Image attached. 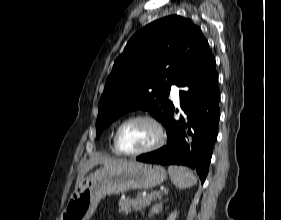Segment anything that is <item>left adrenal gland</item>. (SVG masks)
<instances>
[{
	"label": "left adrenal gland",
	"instance_id": "a2214340",
	"mask_svg": "<svg viewBox=\"0 0 281 220\" xmlns=\"http://www.w3.org/2000/svg\"><path fill=\"white\" fill-rule=\"evenodd\" d=\"M165 192L167 193V191H165ZM162 205H163V202H162V201H160L158 204H155V205L151 208V210H150L148 216H149V217H152L154 214L159 213V211L162 210Z\"/></svg>",
	"mask_w": 281,
	"mask_h": 220
}]
</instances>
